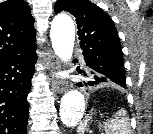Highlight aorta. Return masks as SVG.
<instances>
[{"mask_svg": "<svg viewBox=\"0 0 153 134\" xmlns=\"http://www.w3.org/2000/svg\"><path fill=\"white\" fill-rule=\"evenodd\" d=\"M50 37L55 54L64 62L72 57L75 40V27L70 17L62 15L54 18ZM85 98L78 90L64 94L60 104V118L67 127L75 126L83 117Z\"/></svg>", "mask_w": 153, "mask_h": 134, "instance_id": "762f6f07", "label": "aorta"}]
</instances>
